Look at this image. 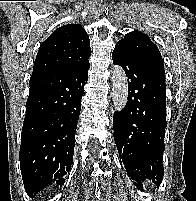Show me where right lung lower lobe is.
Masks as SVG:
<instances>
[{"mask_svg": "<svg viewBox=\"0 0 196 201\" xmlns=\"http://www.w3.org/2000/svg\"><path fill=\"white\" fill-rule=\"evenodd\" d=\"M89 64L32 75L22 127L20 168L33 198L43 188L63 185L75 147V133Z\"/></svg>", "mask_w": 196, "mask_h": 201, "instance_id": "obj_1", "label": "right lung lower lobe"}]
</instances>
